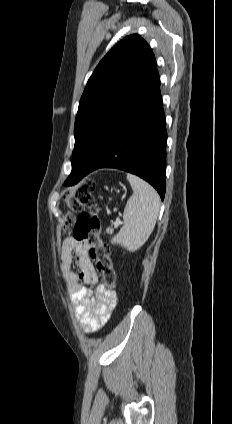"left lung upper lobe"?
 I'll list each match as a JSON object with an SVG mask.
<instances>
[{"mask_svg": "<svg viewBox=\"0 0 232 424\" xmlns=\"http://www.w3.org/2000/svg\"><path fill=\"white\" fill-rule=\"evenodd\" d=\"M155 67L150 46L136 34L100 61L80 99L70 178L83 176L98 141Z\"/></svg>", "mask_w": 232, "mask_h": 424, "instance_id": "1", "label": "left lung upper lobe"}]
</instances>
